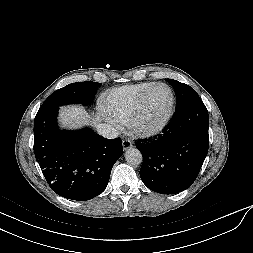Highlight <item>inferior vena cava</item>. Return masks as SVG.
<instances>
[{
  "mask_svg": "<svg viewBox=\"0 0 253 253\" xmlns=\"http://www.w3.org/2000/svg\"><path fill=\"white\" fill-rule=\"evenodd\" d=\"M97 133L105 138H116L119 135V132L116 128L111 126L110 124H98L96 126Z\"/></svg>",
  "mask_w": 253,
  "mask_h": 253,
  "instance_id": "inferior-vena-cava-1",
  "label": "inferior vena cava"
}]
</instances>
